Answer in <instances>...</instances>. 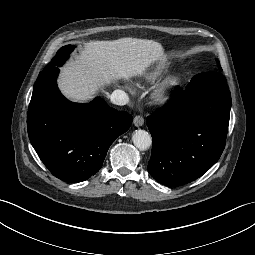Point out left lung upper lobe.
I'll return each mask as SVG.
<instances>
[{
  "label": "left lung upper lobe",
  "mask_w": 255,
  "mask_h": 255,
  "mask_svg": "<svg viewBox=\"0 0 255 255\" xmlns=\"http://www.w3.org/2000/svg\"><path fill=\"white\" fill-rule=\"evenodd\" d=\"M217 63H218V66L220 67V64H219V61L216 59ZM221 68V67H220Z\"/></svg>",
  "instance_id": "left-lung-upper-lobe-1"
}]
</instances>
